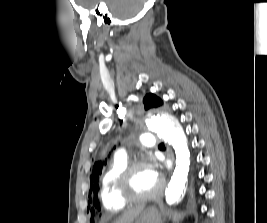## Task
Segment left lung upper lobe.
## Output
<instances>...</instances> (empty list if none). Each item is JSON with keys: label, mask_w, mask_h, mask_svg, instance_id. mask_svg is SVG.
I'll list each match as a JSON object with an SVG mask.
<instances>
[{"label": "left lung upper lobe", "mask_w": 267, "mask_h": 223, "mask_svg": "<svg viewBox=\"0 0 267 223\" xmlns=\"http://www.w3.org/2000/svg\"><path fill=\"white\" fill-rule=\"evenodd\" d=\"M145 109L156 108L163 105V101L154 94H147L144 97ZM107 160L98 161L94 164L92 176H90L91 187L89 191V204L86 209V214H103V209L97 200V192L99 190V176L102 173V167L106 164ZM92 196V197H91Z\"/></svg>", "instance_id": "5c2ea615"}]
</instances>
